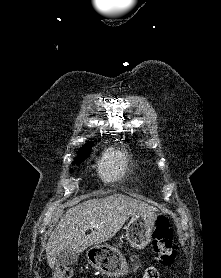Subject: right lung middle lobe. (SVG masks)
Returning <instances> with one entry per match:
<instances>
[{
  "mask_svg": "<svg viewBox=\"0 0 221 278\" xmlns=\"http://www.w3.org/2000/svg\"><path fill=\"white\" fill-rule=\"evenodd\" d=\"M93 145L89 146V147H86L84 149H81L79 150L78 152V156L77 158L75 159V161L73 162V164H78V163H81L83 162L88 156L89 154L91 153V147Z\"/></svg>",
  "mask_w": 221,
  "mask_h": 278,
  "instance_id": "1",
  "label": "right lung middle lobe"
}]
</instances>
